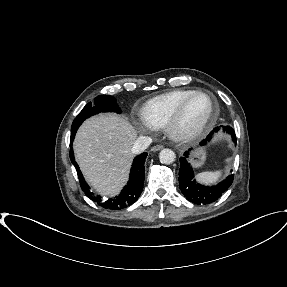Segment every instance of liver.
<instances>
[{
    "instance_id": "6515ba94",
    "label": "liver",
    "mask_w": 287,
    "mask_h": 287,
    "mask_svg": "<svg viewBox=\"0 0 287 287\" xmlns=\"http://www.w3.org/2000/svg\"><path fill=\"white\" fill-rule=\"evenodd\" d=\"M137 131L125 118L100 114L86 120L75 140L76 160L87 182L102 195L115 196L125 185Z\"/></svg>"
}]
</instances>
